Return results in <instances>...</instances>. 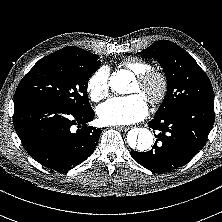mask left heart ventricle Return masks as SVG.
<instances>
[{"label":"left heart ventricle","mask_w":222,"mask_h":222,"mask_svg":"<svg viewBox=\"0 0 222 222\" xmlns=\"http://www.w3.org/2000/svg\"><path fill=\"white\" fill-rule=\"evenodd\" d=\"M129 93H139L142 96H144L145 98H147L149 91L147 89H145L144 87H142L136 80L134 81V83L131 86L130 92Z\"/></svg>","instance_id":"1"}]
</instances>
